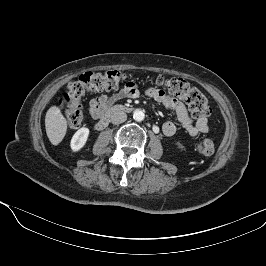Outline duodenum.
Instances as JSON below:
<instances>
[{"label": "duodenum", "mask_w": 266, "mask_h": 266, "mask_svg": "<svg viewBox=\"0 0 266 266\" xmlns=\"http://www.w3.org/2000/svg\"><path fill=\"white\" fill-rule=\"evenodd\" d=\"M131 111H132V108L125 106V105H121V104L110 105L105 109L104 113L98 120L96 124V128L98 130H102L108 125L109 120L113 115L122 113V112H131Z\"/></svg>", "instance_id": "410a0bca"}]
</instances>
